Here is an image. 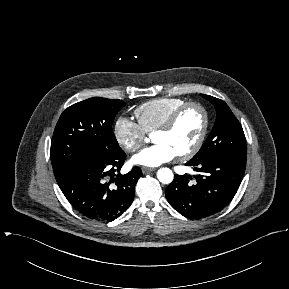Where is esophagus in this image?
I'll use <instances>...</instances> for the list:
<instances>
[{
  "label": "esophagus",
  "mask_w": 289,
  "mask_h": 289,
  "mask_svg": "<svg viewBox=\"0 0 289 289\" xmlns=\"http://www.w3.org/2000/svg\"><path fill=\"white\" fill-rule=\"evenodd\" d=\"M155 170H156L155 168L142 167L143 174H146V173H149V172H153Z\"/></svg>",
  "instance_id": "esophagus-1"
}]
</instances>
